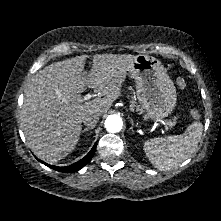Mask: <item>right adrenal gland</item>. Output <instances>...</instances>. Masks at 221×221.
<instances>
[{"label":"right adrenal gland","mask_w":221,"mask_h":221,"mask_svg":"<svg viewBox=\"0 0 221 221\" xmlns=\"http://www.w3.org/2000/svg\"><path fill=\"white\" fill-rule=\"evenodd\" d=\"M93 129V127H86L83 131H82V133H85V132H87V131H90V133H91V130Z\"/></svg>","instance_id":"1"}]
</instances>
